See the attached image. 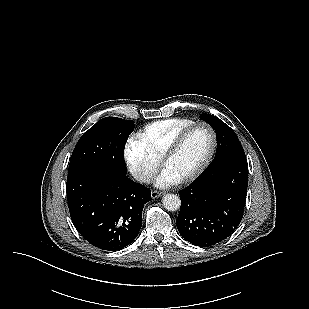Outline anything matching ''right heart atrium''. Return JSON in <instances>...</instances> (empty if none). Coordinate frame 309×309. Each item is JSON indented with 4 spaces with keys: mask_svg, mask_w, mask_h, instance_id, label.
<instances>
[{
    "mask_svg": "<svg viewBox=\"0 0 309 309\" xmlns=\"http://www.w3.org/2000/svg\"><path fill=\"white\" fill-rule=\"evenodd\" d=\"M124 156L131 174L141 183H148L160 166V159L152 155L136 139L126 143Z\"/></svg>",
    "mask_w": 309,
    "mask_h": 309,
    "instance_id": "obj_1",
    "label": "right heart atrium"
}]
</instances>
